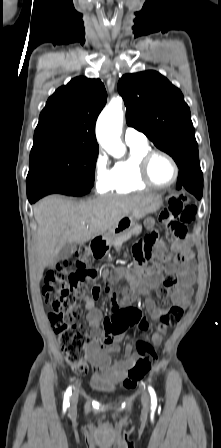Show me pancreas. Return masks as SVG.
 Here are the masks:
<instances>
[{
	"label": "pancreas",
	"mask_w": 221,
	"mask_h": 448,
	"mask_svg": "<svg viewBox=\"0 0 221 448\" xmlns=\"http://www.w3.org/2000/svg\"><path fill=\"white\" fill-rule=\"evenodd\" d=\"M141 231V227L140 226H136L133 229H130L129 231H127L126 233H124L122 236L118 237L115 239L113 245L116 249H119L123 242L127 241L128 239H130V237L132 235H137L139 234Z\"/></svg>",
	"instance_id": "pancreas-1"
}]
</instances>
